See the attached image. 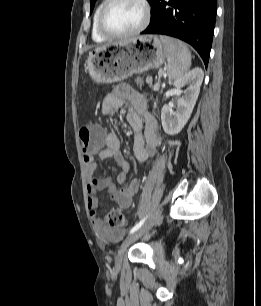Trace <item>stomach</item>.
Returning <instances> with one entry per match:
<instances>
[{
	"mask_svg": "<svg viewBox=\"0 0 261 306\" xmlns=\"http://www.w3.org/2000/svg\"><path fill=\"white\" fill-rule=\"evenodd\" d=\"M164 44L156 35H140L98 47L89 53L86 71L97 84L123 81L163 65Z\"/></svg>",
	"mask_w": 261,
	"mask_h": 306,
	"instance_id": "1",
	"label": "stomach"
}]
</instances>
